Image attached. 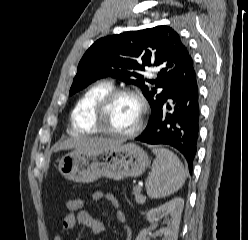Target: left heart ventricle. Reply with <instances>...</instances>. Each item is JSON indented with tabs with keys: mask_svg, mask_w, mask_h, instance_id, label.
<instances>
[{
	"mask_svg": "<svg viewBox=\"0 0 248 240\" xmlns=\"http://www.w3.org/2000/svg\"><path fill=\"white\" fill-rule=\"evenodd\" d=\"M140 117L139 102L132 96L122 95L112 102L104 119V125L114 131L128 132Z\"/></svg>",
	"mask_w": 248,
	"mask_h": 240,
	"instance_id": "b2bd125f",
	"label": "left heart ventricle"
}]
</instances>
